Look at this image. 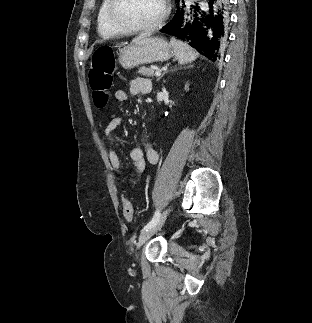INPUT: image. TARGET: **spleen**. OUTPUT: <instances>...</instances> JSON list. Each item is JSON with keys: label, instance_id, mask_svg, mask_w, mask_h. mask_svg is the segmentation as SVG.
I'll use <instances>...</instances> for the list:
<instances>
[{"label": "spleen", "instance_id": "obj_1", "mask_svg": "<svg viewBox=\"0 0 312 323\" xmlns=\"http://www.w3.org/2000/svg\"><path fill=\"white\" fill-rule=\"evenodd\" d=\"M170 46L179 64H189V62H194V60H196V56H198L197 52H194L193 48H190L188 44L180 42V40H175V38H171Z\"/></svg>", "mask_w": 312, "mask_h": 323}]
</instances>
